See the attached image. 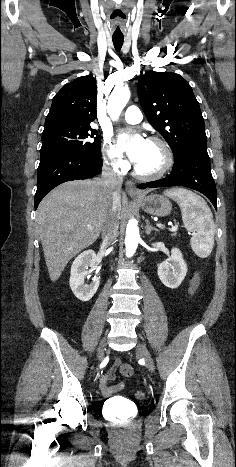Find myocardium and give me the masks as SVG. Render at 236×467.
<instances>
[{
    "label": "myocardium",
    "mask_w": 236,
    "mask_h": 467,
    "mask_svg": "<svg viewBox=\"0 0 236 467\" xmlns=\"http://www.w3.org/2000/svg\"><path fill=\"white\" fill-rule=\"evenodd\" d=\"M147 141L157 144L161 148L164 157L163 164L158 170L150 173L141 171L135 165L133 168V174L141 180H157L164 177L172 169L174 165V155L169 144L164 139L152 136L149 137Z\"/></svg>",
    "instance_id": "f54148a6"
}]
</instances>
